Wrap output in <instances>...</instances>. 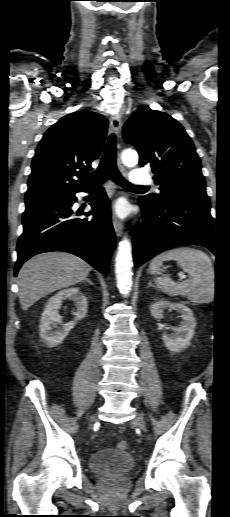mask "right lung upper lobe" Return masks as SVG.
I'll use <instances>...</instances> for the list:
<instances>
[{
	"mask_svg": "<svg viewBox=\"0 0 230 517\" xmlns=\"http://www.w3.org/2000/svg\"><path fill=\"white\" fill-rule=\"evenodd\" d=\"M107 126L102 115L82 110L62 117L49 128L36 148L25 200L87 187V173L92 169L91 162L102 152Z\"/></svg>",
	"mask_w": 230,
	"mask_h": 517,
	"instance_id": "cb5924a9",
	"label": "right lung upper lobe"
}]
</instances>
